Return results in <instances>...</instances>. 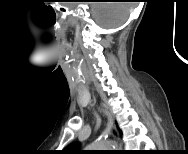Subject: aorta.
<instances>
[{"instance_id": "1", "label": "aorta", "mask_w": 188, "mask_h": 154, "mask_svg": "<svg viewBox=\"0 0 188 154\" xmlns=\"http://www.w3.org/2000/svg\"><path fill=\"white\" fill-rule=\"evenodd\" d=\"M87 148L89 150H112L115 148V144L109 140L97 139L88 145Z\"/></svg>"}]
</instances>
